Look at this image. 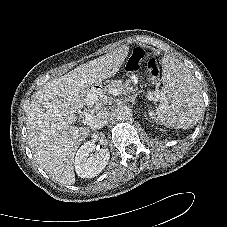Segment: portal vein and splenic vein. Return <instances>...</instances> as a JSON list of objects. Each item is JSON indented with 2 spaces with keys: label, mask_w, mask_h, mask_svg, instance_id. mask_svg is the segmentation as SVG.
<instances>
[{
  "label": "portal vein and splenic vein",
  "mask_w": 227,
  "mask_h": 227,
  "mask_svg": "<svg viewBox=\"0 0 227 227\" xmlns=\"http://www.w3.org/2000/svg\"><path fill=\"white\" fill-rule=\"evenodd\" d=\"M112 95L118 96L119 95L118 90L117 89H114L112 91ZM158 97H159V94L158 93L157 94L156 93L153 94V93L150 92L148 94L149 100H154V99H157ZM87 100L89 101L90 104H94V103H96V101H98L97 97L93 93H87ZM92 118H93V114L87 113L85 115V121H86V123H89Z\"/></svg>",
  "instance_id": "1"
}]
</instances>
